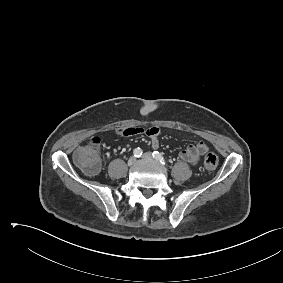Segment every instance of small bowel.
<instances>
[{"instance_id":"c3829d8e","label":"small bowel","mask_w":283,"mask_h":283,"mask_svg":"<svg viewBox=\"0 0 283 283\" xmlns=\"http://www.w3.org/2000/svg\"><path fill=\"white\" fill-rule=\"evenodd\" d=\"M120 136L128 137L136 134H145L151 139V145L153 148H157L159 145V136L161 131L158 127L150 128H137V127H121L117 130ZM208 151V144L205 141H199L196 144H190L185 149L180 151L179 157L192 165H195L200 160L201 156ZM97 173V172H96ZM95 173V174H96Z\"/></svg>"}]
</instances>
